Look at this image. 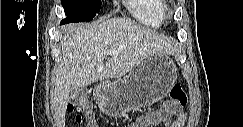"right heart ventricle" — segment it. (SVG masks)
<instances>
[{
	"label": "right heart ventricle",
	"instance_id": "1",
	"mask_svg": "<svg viewBox=\"0 0 243 127\" xmlns=\"http://www.w3.org/2000/svg\"><path fill=\"white\" fill-rule=\"evenodd\" d=\"M126 9L143 26L159 28L164 23L166 3L163 0H128Z\"/></svg>",
	"mask_w": 243,
	"mask_h": 127
}]
</instances>
